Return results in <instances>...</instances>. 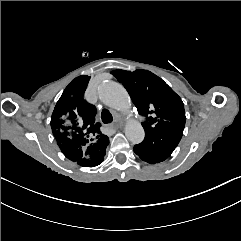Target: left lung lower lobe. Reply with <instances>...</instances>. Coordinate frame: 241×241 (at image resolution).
<instances>
[{
	"label": "left lung lower lobe",
	"instance_id": "obj_1",
	"mask_svg": "<svg viewBox=\"0 0 241 241\" xmlns=\"http://www.w3.org/2000/svg\"><path fill=\"white\" fill-rule=\"evenodd\" d=\"M183 130H162L146 137L134 146V152L144 161L155 164L166 160L181 140Z\"/></svg>",
	"mask_w": 241,
	"mask_h": 241
}]
</instances>
